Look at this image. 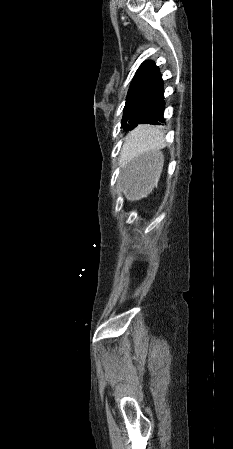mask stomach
Instances as JSON below:
<instances>
[{"label":"stomach","instance_id":"1","mask_svg":"<svg viewBox=\"0 0 233 449\" xmlns=\"http://www.w3.org/2000/svg\"><path fill=\"white\" fill-rule=\"evenodd\" d=\"M163 164V156L157 150L141 155L132 163L125 174L126 199L147 201L149 192L157 181Z\"/></svg>","mask_w":233,"mask_h":449}]
</instances>
